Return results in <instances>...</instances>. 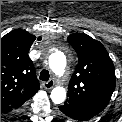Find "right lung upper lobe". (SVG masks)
<instances>
[{"label": "right lung upper lobe", "mask_w": 122, "mask_h": 122, "mask_svg": "<svg viewBox=\"0 0 122 122\" xmlns=\"http://www.w3.org/2000/svg\"><path fill=\"white\" fill-rule=\"evenodd\" d=\"M35 39L21 29L1 38V108H19L39 90L40 84L28 55Z\"/></svg>", "instance_id": "obj_1"}]
</instances>
